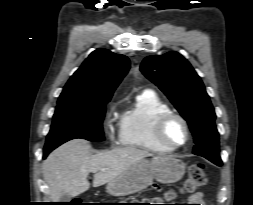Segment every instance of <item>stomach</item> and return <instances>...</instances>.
Masks as SVG:
<instances>
[{"mask_svg":"<svg viewBox=\"0 0 253 205\" xmlns=\"http://www.w3.org/2000/svg\"><path fill=\"white\" fill-rule=\"evenodd\" d=\"M185 169V164L172 156L144 158L107 183L106 190L112 196L130 195L147 188L153 179L164 184L175 183L183 177Z\"/></svg>","mask_w":253,"mask_h":205,"instance_id":"0dacf381","label":"stomach"}]
</instances>
